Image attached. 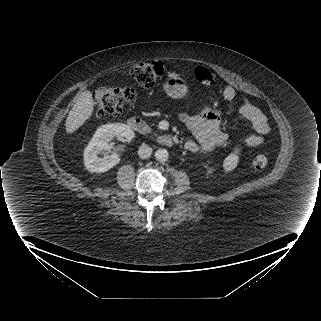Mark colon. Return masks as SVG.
I'll use <instances>...</instances> for the list:
<instances>
[{
    "instance_id": "1",
    "label": "colon",
    "mask_w": 321,
    "mask_h": 321,
    "mask_svg": "<svg viewBox=\"0 0 321 321\" xmlns=\"http://www.w3.org/2000/svg\"><path fill=\"white\" fill-rule=\"evenodd\" d=\"M164 67L161 62H144L136 64L130 70V75L142 88H151L163 76ZM196 78L204 85L212 86L217 81L216 73L205 66L195 70ZM135 96L132 87L114 88L103 86L93 92L92 100L99 117L109 118L119 116L124 104L130 102ZM268 157L264 154L253 159V168L260 170L267 166Z\"/></svg>"
}]
</instances>
